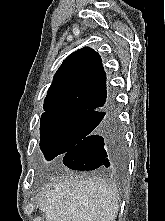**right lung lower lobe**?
<instances>
[{"label": "right lung lower lobe", "instance_id": "98d812e1", "mask_svg": "<svg viewBox=\"0 0 165 221\" xmlns=\"http://www.w3.org/2000/svg\"><path fill=\"white\" fill-rule=\"evenodd\" d=\"M100 125L63 157V164L73 170L110 169L118 172L123 168L122 131L117 120V110L110 103Z\"/></svg>", "mask_w": 165, "mask_h": 221}]
</instances>
